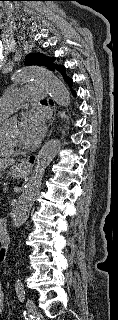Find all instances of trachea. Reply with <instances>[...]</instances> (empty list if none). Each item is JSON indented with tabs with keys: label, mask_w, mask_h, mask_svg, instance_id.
Wrapping results in <instances>:
<instances>
[{
	"label": "trachea",
	"mask_w": 118,
	"mask_h": 320,
	"mask_svg": "<svg viewBox=\"0 0 118 320\" xmlns=\"http://www.w3.org/2000/svg\"><path fill=\"white\" fill-rule=\"evenodd\" d=\"M42 102H47V100H42Z\"/></svg>",
	"instance_id": "3493384b"
}]
</instances>
